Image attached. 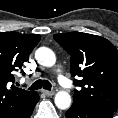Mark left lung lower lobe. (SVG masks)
Returning <instances> with one entry per match:
<instances>
[{
	"label": "left lung lower lobe",
	"mask_w": 118,
	"mask_h": 118,
	"mask_svg": "<svg viewBox=\"0 0 118 118\" xmlns=\"http://www.w3.org/2000/svg\"><path fill=\"white\" fill-rule=\"evenodd\" d=\"M113 111L79 105H73L67 110L66 118H111Z\"/></svg>",
	"instance_id": "0a47b994"
}]
</instances>
